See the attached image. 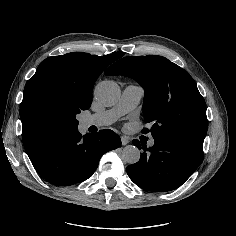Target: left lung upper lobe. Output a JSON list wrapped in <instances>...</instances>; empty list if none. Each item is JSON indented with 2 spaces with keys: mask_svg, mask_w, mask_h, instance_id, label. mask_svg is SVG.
Returning a JSON list of instances; mask_svg holds the SVG:
<instances>
[{
  "mask_svg": "<svg viewBox=\"0 0 236 236\" xmlns=\"http://www.w3.org/2000/svg\"><path fill=\"white\" fill-rule=\"evenodd\" d=\"M133 78L144 88L143 115L153 137L168 135L203 147L208 121L206 104L187 71L157 55L128 56L104 73Z\"/></svg>",
  "mask_w": 236,
  "mask_h": 236,
  "instance_id": "left-lung-upper-lobe-1",
  "label": "left lung upper lobe"
}]
</instances>
